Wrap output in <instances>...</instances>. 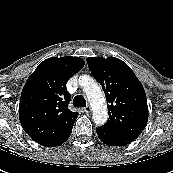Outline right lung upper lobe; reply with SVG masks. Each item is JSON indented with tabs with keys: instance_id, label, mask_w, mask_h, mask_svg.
Instances as JSON below:
<instances>
[{
	"instance_id": "1",
	"label": "right lung upper lobe",
	"mask_w": 173,
	"mask_h": 173,
	"mask_svg": "<svg viewBox=\"0 0 173 173\" xmlns=\"http://www.w3.org/2000/svg\"><path fill=\"white\" fill-rule=\"evenodd\" d=\"M85 62L79 57L48 58L28 78L20 97L19 119L24 131L43 145L69 129L78 113L68 109L66 83Z\"/></svg>"
}]
</instances>
